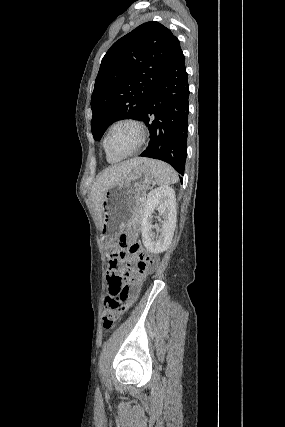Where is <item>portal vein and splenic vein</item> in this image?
Wrapping results in <instances>:
<instances>
[{"label": "portal vein and splenic vein", "instance_id": "18ae733b", "mask_svg": "<svg viewBox=\"0 0 285 427\" xmlns=\"http://www.w3.org/2000/svg\"><path fill=\"white\" fill-rule=\"evenodd\" d=\"M140 200H141V201H145V198H144V197H142Z\"/></svg>", "mask_w": 285, "mask_h": 427}]
</instances>
